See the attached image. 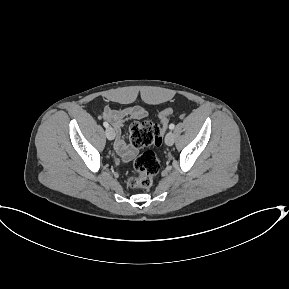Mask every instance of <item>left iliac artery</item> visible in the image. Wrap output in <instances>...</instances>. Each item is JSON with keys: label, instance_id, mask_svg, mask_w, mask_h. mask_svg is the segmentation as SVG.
I'll use <instances>...</instances> for the list:
<instances>
[{"label": "left iliac artery", "instance_id": "1", "mask_svg": "<svg viewBox=\"0 0 289 289\" xmlns=\"http://www.w3.org/2000/svg\"><path fill=\"white\" fill-rule=\"evenodd\" d=\"M174 127H175V125L173 124V123H171L170 125H169V129H174Z\"/></svg>", "mask_w": 289, "mask_h": 289}]
</instances>
